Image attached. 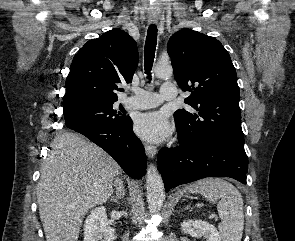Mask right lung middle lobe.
I'll return each instance as SVG.
<instances>
[{
	"instance_id": "dd1d6c3e",
	"label": "right lung middle lobe",
	"mask_w": 295,
	"mask_h": 241,
	"mask_svg": "<svg viewBox=\"0 0 295 241\" xmlns=\"http://www.w3.org/2000/svg\"><path fill=\"white\" fill-rule=\"evenodd\" d=\"M64 117L67 127L90 121L124 125L129 119L125 114L113 109V103L80 107L64 112Z\"/></svg>"
}]
</instances>
